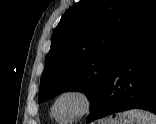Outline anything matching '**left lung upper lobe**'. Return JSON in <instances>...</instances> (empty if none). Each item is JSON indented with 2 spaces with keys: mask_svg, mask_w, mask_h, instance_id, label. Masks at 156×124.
<instances>
[{
  "mask_svg": "<svg viewBox=\"0 0 156 124\" xmlns=\"http://www.w3.org/2000/svg\"><path fill=\"white\" fill-rule=\"evenodd\" d=\"M156 9V0H81L51 37L38 101L61 92H84L91 109L118 59Z\"/></svg>",
  "mask_w": 156,
  "mask_h": 124,
  "instance_id": "obj_1",
  "label": "left lung upper lobe"
}]
</instances>
